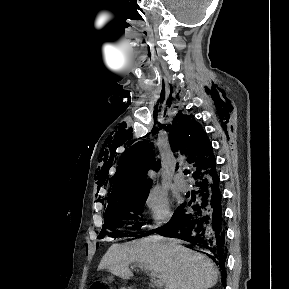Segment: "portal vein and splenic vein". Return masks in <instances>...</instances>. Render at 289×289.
<instances>
[{"label":"portal vein and splenic vein","mask_w":289,"mask_h":289,"mask_svg":"<svg viewBox=\"0 0 289 289\" xmlns=\"http://www.w3.org/2000/svg\"><path fill=\"white\" fill-rule=\"evenodd\" d=\"M151 276H152V278L155 280L154 282H155V285L157 286V287H162L163 286V283H162V281L160 280V277L159 276H157V274L156 273H154V272H151ZM157 278V279H156Z\"/></svg>","instance_id":"portal-vein-and-splenic-vein-1"}]
</instances>
